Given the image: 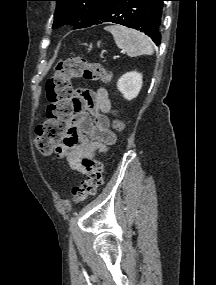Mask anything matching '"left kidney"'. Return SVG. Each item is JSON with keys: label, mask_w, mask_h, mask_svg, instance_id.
Returning <instances> with one entry per match:
<instances>
[{"label": "left kidney", "mask_w": 216, "mask_h": 285, "mask_svg": "<svg viewBox=\"0 0 216 285\" xmlns=\"http://www.w3.org/2000/svg\"><path fill=\"white\" fill-rule=\"evenodd\" d=\"M142 83V74L132 71L120 77L117 82V88L125 99L132 100L139 94Z\"/></svg>", "instance_id": "5707ae66"}]
</instances>
